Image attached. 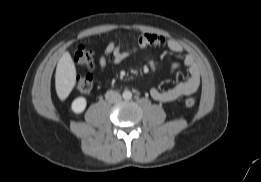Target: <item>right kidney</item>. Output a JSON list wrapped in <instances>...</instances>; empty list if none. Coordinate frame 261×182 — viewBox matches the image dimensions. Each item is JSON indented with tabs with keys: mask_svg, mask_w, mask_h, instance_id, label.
Listing matches in <instances>:
<instances>
[{
	"mask_svg": "<svg viewBox=\"0 0 261 182\" xmlns=\"http://www.w3.org/2000/svg\"><path fill=\"white\" fill-rule=\"evenodd\" d=\"M86 104L87 102L84 97H78L72 102L71 109L74 113L80 114L85 110Z\"/></svg>",
	"mask_w": 261,
	"mask_h": 182,
	"instance_id": "1",
	"label": "right kidney"
}]
</instances>
